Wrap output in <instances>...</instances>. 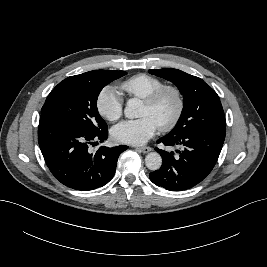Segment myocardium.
<instances>
[{"mask_svg":"<svg viewBox=\"0 0 267 267\" xmlns=\"http://www.w3.org/2000/svg\"><path fill=\"white\" fill-rule=\"evenodd\" d=\"M168 92L172 93L175 96L176 110L168 122L159 126V130L162 132H168L172 130L178 124L183 115L185 101L182 91L175 85H163L143 99L144 104L149 107H155L159 103L161 98Z\"/></svg>","mask_w":267,"mask_h":267,"instance_id":"obj_1","label":"myocardium"}]
</instances>
